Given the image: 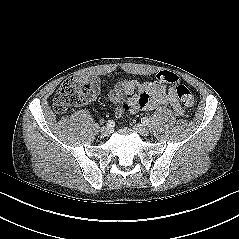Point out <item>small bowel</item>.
Listing matches in <instances>:
<instances>
[{"instance_id":"c3829d8e","label":"small bowel","mask_w":239,"mask_h":239,"mask_svg":"<svg viewBox=\"0 0 239 239\" xmlns=\"http://www.w3.org/2000/svg\"><path fill=\"white\" fill-rule=\"evenodd\" d=\"M78 81L89 87L91 95L89 100L94 102L102 91V82L96 76L81 75ZM109 100L115 105V115L120 116L122 109L120 103L127 98L130 111H152L163 105H170L176 114L183 115L176 91L164 82L155 80L139 82L135 79L117 81L111 88L107 89Z\"/></svg>"}]
</instances>
